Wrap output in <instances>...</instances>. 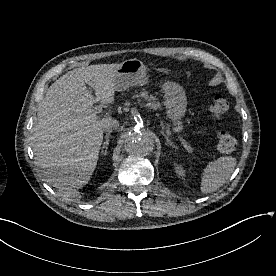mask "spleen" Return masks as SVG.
Wrapping results in <instances>:
<instances>
[{
    "label": "spleen",
    "mask_w": 276,
    "mask_h": 276,
    "mask_svg": "<svg viewBox=\"0 0 276 276\" xmlns=\"http://www.w3.org/2000/svg\"><path fill=\"white\" fill-rule=\"evenodd\" d=\"M235 166L236 159L232 156L220 157L210 162L203 172L201 192L211 193L218 190L230 178Z\"/></svg>",
    "instance_id": "1"
}]
</instances>
